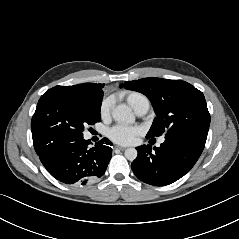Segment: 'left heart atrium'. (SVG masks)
Listing matches in <instances>:
<instances>
[{
    "instance_id": "obj_1",
    "label": "left heart atrium",
    "mask_w": 239,
    "mask_h": 239,
    "mask_svg": "<svg viewBox=\"0 0 239 239\" xmlns=\"http://www.w3.org/2000/svg\"><path fill=\"white\" fill-rule=\"evenodd\" d=\"M140 133V128L136 126H129L125 124H117L109 130V137L115 143L121 145L131 144L138 134Z\"/></svg>"
}]
</instances>
